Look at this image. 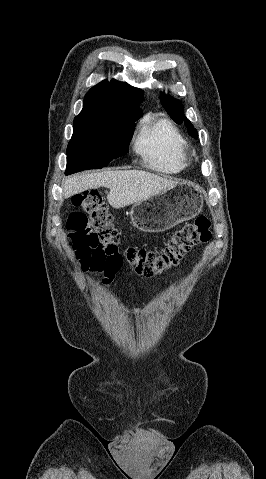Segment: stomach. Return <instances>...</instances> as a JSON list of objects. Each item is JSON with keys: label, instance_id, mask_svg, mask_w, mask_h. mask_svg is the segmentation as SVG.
<instances>
[{"label": "stomach", "instance_id": "1", "mask_svg": "<svg viewBox=\"0 0 266 479\" xmlns=\"http://www.w3.org/2000/svg\"><path fill=\"white\" fill-rule=\"evenodd\" d=\"M202 207L201 188L192 183H178L171 189L136 202L131 208L130 218L137 229L158 233L194 218Z\"/></svg>", "mask_w": 266, "mask_h": 479}]
</instances>
